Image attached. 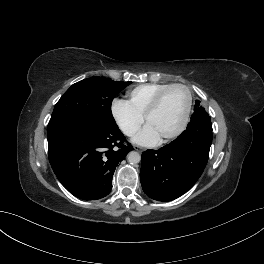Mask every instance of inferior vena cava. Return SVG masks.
<instances>
[{"label": "inferior vena cava", "instance_id": "inferior-vena-cava-1", "mask_svg": "<svg viewBox=\"0 0 264 264\" xmlns=\"http://www.w3.org/2000/svg\"><path fill=\"white\" fill-rule=\"evenodd\" d=\"M123 131L126 135L132 136L136 133L137 129L135 127H126Z\"/></svg>", "mask_w": 264, "mask_h": 264}]
</instances>
